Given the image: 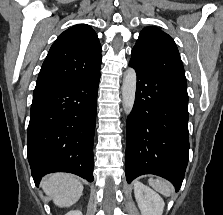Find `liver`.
Instances as JSON below:
<instances>
[{"mask_svg":"<svg viewBox=\"0 0 223 215\" xmlns=\"http://www.w3.org/2000/svg\"><path fill=\"white\" fill-rule=\"evenodd\" d=\"M41 187L46 195H53V201L59 207H69L82 195L83 185L72 173H50L44 177Z\"/></svg>","mask_w":223,"mask_h":215,"instance_id":"6515ba94","label":"liver"}]
</instances>
